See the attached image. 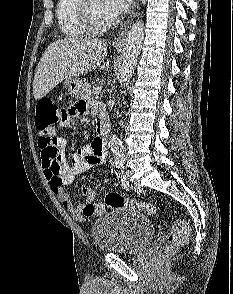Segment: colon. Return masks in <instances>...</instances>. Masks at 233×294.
Returning <instances> with one entry per match:
<instances>
[{"instance_id":"5ec220e1","label":"colon","mask_w":233,"mask_h":294,"mask_svg":"<svg viewBox=\"0 0 233 294\" xmlns=\"http://www.w3.org/2000/svg\"><path fill=\"white\" fill-rule=\"evenodd\" d=\"M59 109L60 108L50 98H42L38 101L36 106L35 125L40 132V144L50 145L55 141V137H42L41 133L57 132L55 128H53V123L55 120H62L58 119V114H61ZM118 207H127L150 215L155 214L157 211L153 203L130 199L118 193H109L106 195L104 203L88 205L85 208V212L87 214L97 215L102 213L106 208L114 209ZM189 235L190 228L188 223L184 220H177L169 231L167 244L159 253L160 259H165L173 249L184 245L188 241Z\"/></svg>"}]
</instances>
